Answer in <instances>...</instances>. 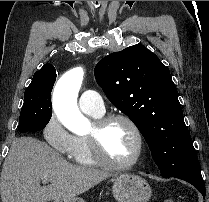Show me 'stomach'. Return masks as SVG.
Masks as SVG:
<instances>
[{
    "label": "stomach",
    "instance_id": "1",
    "mask_svg": "<svg viewBox=\"0 0 209 202\" xmlns=\"http://www.w3.org/2000/svg\"><path fill=\"white\" fill-rule=\"evenodd\" d=\"M114 198L118 202H148L152 190L148 182L138 175H119L112 187ZM55 202H84L79 197L57 199Z\"/></svg>",
    "mask_w": 209,
    "mask_h": 202
}]
</instances>
